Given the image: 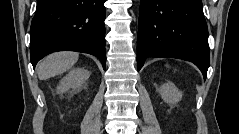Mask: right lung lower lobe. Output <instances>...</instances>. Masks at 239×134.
Returning <instances> with one entry per match:
<instances>
[{"label":"right lung lower lobe","mask_w":239,"mask_h":134,"mask_svg":"<svg viewBox=\"0 0 239 134\" xmlns=\"http://www.w3.org/2000/svg\"><path fill=\"white\" fill-rule=\"evenodd\" d=\"M105 0H37L30 29L33 67L49 53L77 51L95 55L105 69Z\"/></svg>","instance_id":"obj_1"}]
</instances>
